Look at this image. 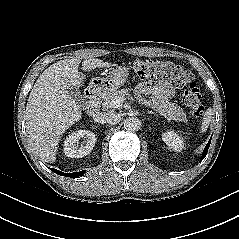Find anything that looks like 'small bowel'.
<instances>
[{"label":"small bowel","instance_id":"1","mask_svg":"<svg viewBox=\"0 0 239 239\" xmlns=\"http://www.w3.org/2000/svg\"><path fill=\"white\" fill-rule=\"evenodd\" d=\"M137 93L150 94L154 102H163L172 98L174 90L168 82L163 80L145 81L138 85Z\"/></svg>","mask_w":239,"mask_h":239}]
</instances>
